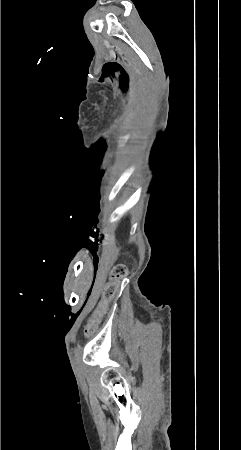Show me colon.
<instances>
[{
    "instance_id": "5ec220e1",
    "label": "colon",
    "mask_w": 241,
    "mask_h": 450,
    "mask_svg": "<svg viewBox=\"0 0 241 450\" xmlns=\"http://www.w3.org/2000/svg\"><path fill=\"white\" fill-rule=\"evenodd\" d=\"M127 274V267L122 264H116L109 275V280L103 291L102 297L99 298V303L95 307L94 314L89 319L86 328L85 336L90 337L97 329L98 321L100 317H103L108 306L111 305L114 294L117 293L118 281L123 279Z\"/></svg>"
}]
</instances>
